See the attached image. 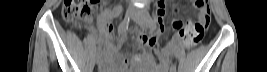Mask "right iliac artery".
I'll return each instance as SVG.
<instances>
[{
	"mask_svg": "<svg viewBox=\"0 0 267 72\" xmlns=\"http://www.w3.org/2000/svg\"><path fill=\"white\" fill-rule=\"evenodd\" d=\"M128 25H129V18L124 19V21L119 25L118 28V34H122L124 33L127 29H128ZM102 52V44L98 46L97 50H96V54L97 56L100 55Z\"/></svg>",
	"mask_w": 267,
	"mask_h": 72,
	"instance_id": "right-iliac-artery-1",
	"label": "right iliac artery"
}]
</instances>
